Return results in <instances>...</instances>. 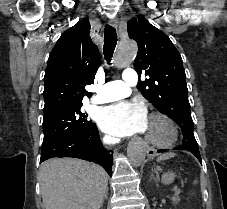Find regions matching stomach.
<instances>
[{
  "instance_id": "stomach-1",
  "label": "stomach",
  "mask_w": 227,
  "mask_h": 209,
  "mask_svg": "<svg viewBox=\"0 0 227 209\" xmlns=\"http://www.w3.org/2000/svg\"><path fill=\"white\" fill-rule=\"evenodd\" d=\"M174 179L175 174L173 172L164 173L161 178L163 184H170Z\"/></svg>"
}]
</instances>
